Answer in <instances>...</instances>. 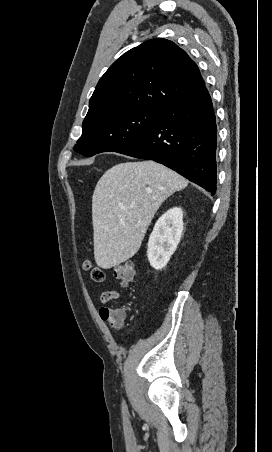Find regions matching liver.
<instances>
[{
    "mask_svg": "<svg viewBox=\"0 0 272 452\" xmlns=\"http://www.w3.org/2000/svg\"><path fill=\"white\" fill-rule=\"evenodd\" d=\"M187 185L181 175L151 160L108 169L92 197L96 264L110 269L132 258L162 203Z\"/></svg>",
    "mask_w": 272,
    "mask_h": 452,
    "instance_id": "1",
    "label": "liver"
}]
</instances>
